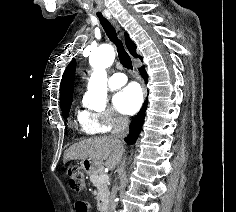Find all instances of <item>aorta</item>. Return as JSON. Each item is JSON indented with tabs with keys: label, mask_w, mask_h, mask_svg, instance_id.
<instances>
[{
	"label": "aorta",
	"mask_w": 236,
	"mask_h": 212,
	"mask_svg": "<svg viewBox=\"0 0 236 212\" xmlns=\"http://www.w3.org/2000/svg\"><path fill=\"white\" fill-rule=\"evenodd\" d=\"M115 52L111 45H101L92 51L89 63L93 72L88 82L86 98L89 106L94 109L103 108L107 99V73L106 68L112 65Z\"/></svg>",
	"instance_id": "762f6f07"
}]
</instances>
